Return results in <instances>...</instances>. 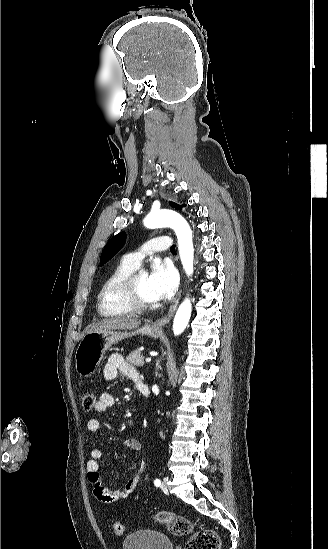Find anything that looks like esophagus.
<instances>
[{
  "label": "esophagus",
  "mask_w": 328,
  "mask_h": 549,
  "mask_svg": "<svg viewBox=\"0 0 328 549\" xmlns=\"http://www.w3.org/2000/svg\"><path fill=\"white\" fill-rule=\"evenodd\" d=\"M180 297H181V290L179 291L178 295L176 296L173 304L171 305L169 311H168V314L165 315L164 317H161L160 319H157L155 321V323L153 324V327L155 329H160L163 325H165L167 322H169L170 319H172L174 313H175V310L177 308V305L179 303V300H180Z\"/></svg>",
  "instance_id": "1"
}]
</instances>
